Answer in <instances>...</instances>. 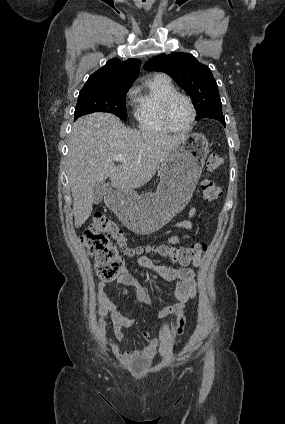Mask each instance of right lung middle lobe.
<instances>
[{
  "mask_svg": "<svg viewBox=\"0 0 285 424\" xmlns=\"http://www.w3.org/2000/svg\"><path fill=\"white\" fill-rule=\"evenodd\" d=\"M131 85L83 88L78 96L74 119L93 112L115 114L127 119L125 97Z\"/></svg>",
  "mask_w": 285,
  "mask_h": 424,
  "instance_id": "obj_1",
  "label": "right lung middle lobe"
}]
</instances>
